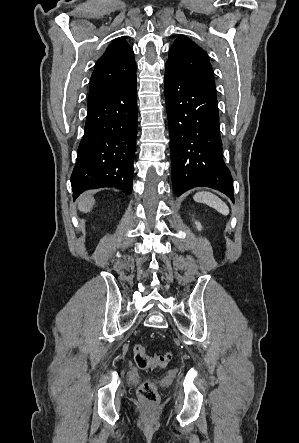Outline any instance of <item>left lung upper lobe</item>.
Returning <instances> with one entry per match:
<instances>
[{
	"label": "left lung upper lobe",
	"instance_id": "left-lung-upper-lobe-1",
	"mask_svg": "<svg viewBox=\"0 0 299 443\" xmlns=\"http://www.w3.org/2000/svg\"><path fill=\"white\" fill-rule=\"evenodd\" d=\"M166 64L195 84L216 95L213 69L206 52L184 36H179L169 51Z\"/></svg>",
	"mask_w": 299,
	"mask_h": 443
}]
</instances>
